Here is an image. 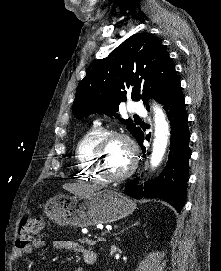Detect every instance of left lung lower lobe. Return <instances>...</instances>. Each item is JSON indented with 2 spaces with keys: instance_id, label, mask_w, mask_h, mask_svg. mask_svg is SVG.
<instances>
[{
  "instance_id": "left-lung-lower-lobe-1",
  "label": "left lung lower lobe",
  "mask_w": 221,
  "mask_h": 271,
  "mask_svg": "<svg viewBox=\"0 0 221 271\" xmlns=\"http://www.w3.org/2000/svg\"><path fill=\"white\" fill-rule=\"evenodd\" d=\"M168 115L171 125L170 153L168 162L162 173L155 179L138 185V178L129 182L124 193L136 198H160L171 204L178 212L181 211L186 199V187L189 173L190 132L185 99L180 82L176 83L160 102ZM144 134L139 132L136 140L143 145ZM150 134L146 135L149 141ZM143 154L145 147H142Z\"/></svg>"
}]
</instances>
